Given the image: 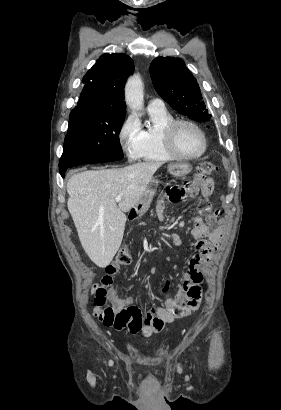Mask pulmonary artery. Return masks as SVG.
I'll return each mask as SVG.
<instances>
[{
	"label": "pulmonary artery",
	"instance_id": "1",
	"mask_svg": "<svg viewBox=\"0 0 281 410\" xmlns=\"http://www.w3.org/2000/svg\"><path fill=\"white\" fill-rule=\"evenodd\" d=\"M165 108L164 102L161 99L154 98L148 103V109H161Z\"/></svg>",
	"mask_w": 281,
	"mask_h": 410
}]
</instances>
